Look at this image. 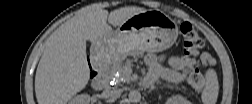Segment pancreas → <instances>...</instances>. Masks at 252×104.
<instances>
[{
    "label": "pancreas",
    "instance_id": "pancreas-1",
    "mask_svg": "<svg viewBox=\"0 0 252 104\" xmlns=\"http://www.w3.org/2000/svg\"><path fill=\"white\" fill-rule=\"evenodd\" d=\"M125 78H126L127 81L130 80V77H129V76H126V75H125Z\"/></svg>",
    "mask_w": 252,
    "mask_h": 104
}]
</instances>
